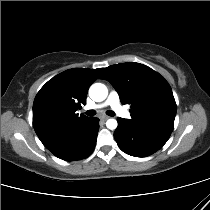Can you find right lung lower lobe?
Masks as SVG:
<instances>
[{
    "instance_id": "1",
    "label": "right lung lower lobe",
    "mask_w": 210,
    "mask_h": 210,
    "mask_svg": "<svg viewBox=\"0 0 210 210\" xmlns=\"http://www.w3.org/2000/svg\"><path fill=\"white\" fill-rule=\"evenodd\" d=\"M98 130L99 119L90 117L86 122L66 131L46 148L62 160L75 161L83 159L93 152Z\"/></svg>"
}]
</instances>
